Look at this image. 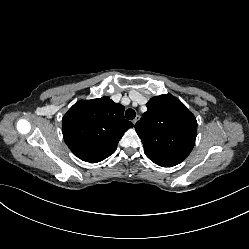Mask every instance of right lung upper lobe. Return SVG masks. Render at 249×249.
I'll return each mask as SVG.
<instances>
[{"label":"right lung upper lobe","instance_id":"right-lung-upper-lobe-1","mask_svg":"<svg viewBox=\"0 0 249 249\" xmlns=\"http://www.w3.org/2000/svg\"><path fill=\"white\" fill-rule=\"evenodd\" d=\"M124 106L105 96L75 103L62 119V133L69 149L81 160L96 163L112 155L129 128Z\"/></svg>","mask_w":249,"mask_h":249}]
</instances>
